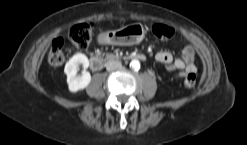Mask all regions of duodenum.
<instances>
[{
    "instance_id": "duodenum-1",
    "label": "duodenum",
    "mask_w": 247,
    "mask_h": 145,
    "mask_svg": "<svg viewBox=\"0 0 247 145\" xmlns=\"http://www.w3.org/2000/svg\"><path fill=\"white\" fill-rule=\"evenodd\" d=\"M123 59L125 60L137 59V60L144 61L146 57L142 53H132V54L124 56ZM89 63H90V68L93 71H99L103 66V61L99 57H92Z\"/></svg>"
}]
</instances>
